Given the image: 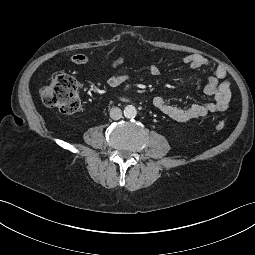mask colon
Listing matches in <instances>:
<instances>
[{"instance_id": "obj_1", "label": "colon", "mask_w": 255, "mask_h": 255, "mask_svg": "<svg viewBox=\"0 0 255 255\" xmlns=\"http://www.w3.org/2000/svg\"><path fill=\"white\" fill-rule=\"evenodd\" d=\"M77 87L78 82L71 75L57 71L53 74L50 83L40 90L39 96L45 105L57 108L63 114H74L80 106ZM224 127L223 121L217 122L218 130Z\"/></svg>"}]
</instances>
